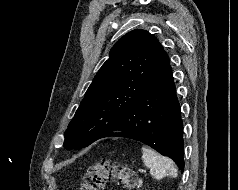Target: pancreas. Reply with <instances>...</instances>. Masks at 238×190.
<instances>
[{"instance_id":"cf45deb5","label":"pancreas","mask_w":238,"mask_h":190,"mask_svg":"<svg viewBox=\"0 0 238 190\" xmlns=\"http://www.w3.org/2000/svg\"><path fill=\"white\" fill-rule=\"evenodd\" d=\"M141 184H142V182H141V181H139L138 187H140V186H141Z\"/></svg>"}]
</instances>
